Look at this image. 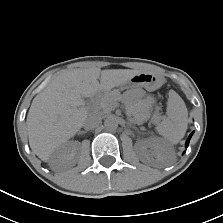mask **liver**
Wrapping results in <instances>:
<instances>
[{
    "label": "liver",
    "instance_id": "obj_1",
    "mask_svg": "<svg viewBox=\"0 0 223 223\" xmlns=\"http://www.w3.org/2000/svg\"><path fill=\"white\" fill-rule=\"evenodd\" d=\"M140 73L130 69H75L56 76L32 101L27 115L29 145L44 162L84 125L88 111L83 97L127 83ZM100 78V83L98 79Z\"/></svg>",
    "mask_w": 223,
    "mask_h": 223
}]
</instances>
